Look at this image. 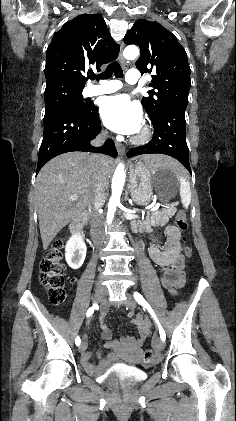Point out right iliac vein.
I'll return each instance as SVG.
<instances>
[{"label":"right iliac vein","instance_id":"1","mask_svg":"<svg viewBox=\"0 0 236 421\" xmlns=\"http://www.w3.org/2000/svg\"><path fill=\"white\" fill-rule=\"evenodd\" d=\"M106 296V291L100 287L95 288L94 296H93V302L94 303H100ZM86 343L83 341L79 347V351L83 353L86 350Z\"/></svg>","mask_w":236,"mask_h":421}]
</instances>
